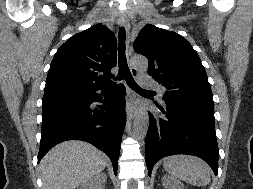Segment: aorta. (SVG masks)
I'll return each mask as SVG.
<instances>
[{"mask_svg":"<svg viewBox=\"0 0 253 189\" xmlns=\"http://www.w3.org/2000/svg\"><path fill=\"white\" fill-rule=\"evenodd\" d=\"M132 63L135 67L141 70H146L148 67L147 59H145L144 57L135 56L132 58ZM148 126V112L145 108H141L136 112L133 122V132L135 138L138 140H143L146 137Z\"/></svg>","mask_w":253,"mask_h":189,"instance_id":"1","label":"aorta"}]
</instances>
